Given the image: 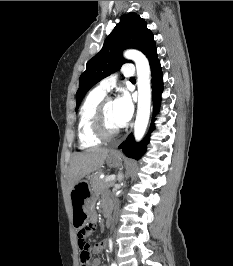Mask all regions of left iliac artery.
<instances>
[{
	"instance_id": "left-iliac-artery-1",
	"label": "left iliac artery",
	"mask_w": 233,
	"mask_h": 266,
	"mask_svg": "<svg viewBox=\"0 0 233 266\" xmlns=\"http://www.w3.org/2000/svg\"><path fill=\"white\" fill-rule=\"evenodd\" d=\"M109 247H110V250H112V240L111 239H109ZM111 266H117V264L115 262H112Z\"/></svg>"
}]
</instances>
